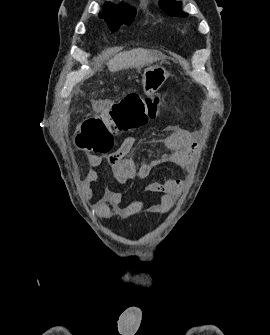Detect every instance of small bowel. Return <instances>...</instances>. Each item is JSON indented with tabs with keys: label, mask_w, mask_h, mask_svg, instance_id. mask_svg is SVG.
Here are the masks:
<instances>
[{
	"label": "small bowel",
	"mask_w": 270,
	"mask_h": 335,
	"mask_svg": "<svg viewBox=\"0 0 270 335\" xmlns=\"http://www.w3.org/2000/svg\"><path fill=\"white\" fill-rule=\"evenodd\" d=\"M109 104V101H99L97 107H107ZM133 144L134 138L127 136L114 152L106 156L90 155L87 159L88 169L84 178L86 189L89 190L90 186L97 182V167L104 161L108 162L115 180L120 184H125L134 179L148 177L152 170L161 164L190 165L193 162V153L197 146L193 136L186 129L179 125H170L168 135L161 141L165 152L143 161L137 167L134 160L128 156ZM184 186V181L176 178L149 182L145 187L146 191L157 195L150 211L160 214L168 212ZM123 198L122 192L106 188L102 199L93 206V210L102 219H109L114 213L125 217L140 209L146 202L143 199H138L122 206Z\"/></svg>",
	"instance_id": "obj_1"
}]
</instances>
